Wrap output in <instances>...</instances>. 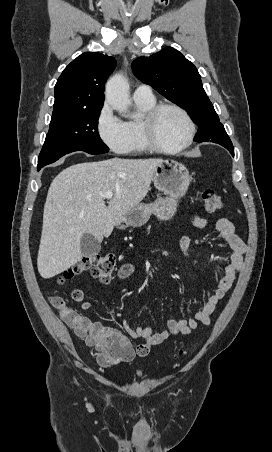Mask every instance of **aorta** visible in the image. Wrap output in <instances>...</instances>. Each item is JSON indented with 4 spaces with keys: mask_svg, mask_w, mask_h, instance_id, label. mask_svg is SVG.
<instances>
[{
    "mask_svg": "<svg viewBox=\"0 0 272 452\" xmlns=\"http://www.w3.org/2000/svg\"><path fill=\"white\" fill-rule=\"evenodd\" d=\"M106 102L118 113L127 116L131 101L129 99V85L121 74L112 76L106 83Z\"/></svg>",
    "mask_w": 272,
    "mask_h": 452,
    "instance_id": "762f6f07",
    "label": "aorta"
}]
</instances>
